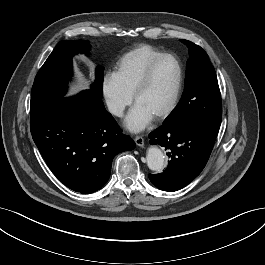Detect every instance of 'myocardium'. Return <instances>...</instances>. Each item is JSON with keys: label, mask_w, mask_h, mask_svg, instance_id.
Instances as JSON below:
<instances>
[{"label": "myocardium", "mask_w": 265, "mask_h": 265, "mask_svg": "<svg viewBox=\"0 0 265 265\" xmlns=\"http://www.w3.org/2000/svg\"><path fill=\"white\" fill-rule=\"evenodd\" d=\"M166 58H170L174 60L176 63L177 81H176V86H175V90H174L171 101L163 110H161L154 116V119H157V120L168 116L176 108L179 102L181 92H182V87H183L184 74H183L182 64L180 60L178 59V57L171 53H161L160 55L152 59L148 63L144 71L142 72L131 94L132 102L135 103V100L138 97V95L146 88L147 84L149 83V80L157 64L161 60L166 59Z\"/></svg>", "instance_id": "myocardium-1"}]
</instances>
